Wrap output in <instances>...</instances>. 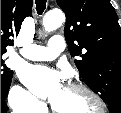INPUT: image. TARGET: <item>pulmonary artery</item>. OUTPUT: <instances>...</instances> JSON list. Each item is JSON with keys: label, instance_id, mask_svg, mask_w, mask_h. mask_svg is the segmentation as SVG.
<instances>
[{"label": "pulmonary artery", "instance_id": "obj_1", "mask_svg": "<svg viewBox=\"0 0 121 113\" xmlns=\"http://www.w3.org/2000/svg\"><path fill=\"white\" fill-rule=\"evenodd\" d=\"M64 49V38L60 35L53 36L47 46L32 44L24 47L21 54L24 58L33 61H52Z\"/></svg>", "mask_w": 121, "mask_h": 113}]
</instances>
